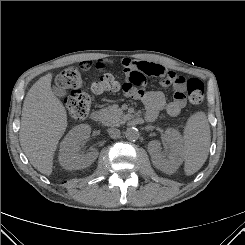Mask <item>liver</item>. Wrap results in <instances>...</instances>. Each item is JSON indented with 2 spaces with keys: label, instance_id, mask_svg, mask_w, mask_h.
Returning <instances> with one entry per match:
<instances>
[{
  "label": "liver",
  "instance_id": "liver-1",
  "mask_svg": "<svg viewBox=\"0 0 245 245\" xmlns=\"http://www.w3.org/2000/svg\"><path fill=\"white\" fill-rule=\"evenodd\" d=\"M52 74L41 77L28 91L19 132L21 147L35 169L51 175L53 156L67 128V114L51 88Z\"/></svg>",
  "mask_w": 245,
  "mask_h": 245
}]
</instances>
